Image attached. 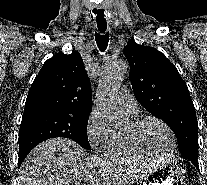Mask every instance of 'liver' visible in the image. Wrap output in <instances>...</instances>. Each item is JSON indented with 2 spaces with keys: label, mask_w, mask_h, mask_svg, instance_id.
Here are the masks:
<instances>
[{
  "label": "liver",
  "mask_w": 207,
  "mask_h": 185,
  "mask_svg": "<svg viewBox=\"0 0 207 185\" xmlns=\"http://www.w3.org/2000/svg\"><path fill=\"white\" fill-rule=\"evenodd\" d=\"M94 159L70 139H48L27 155L20 169L21 185H73L81 179L95 181Z\"/></svg>",
  "instance_id": "6515ba94"
}]
</instances>
